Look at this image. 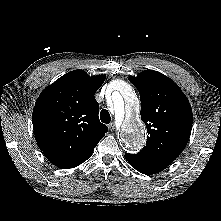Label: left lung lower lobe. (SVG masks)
I'll return each mask as SVG.
<instances>
[{
  "mask_svg": "<svg viewBox=\"0 0 221 221\" xmlns=\"http://www.w3.org/2000/svg\"><path fill=\"white\" fill-rule=\"evenodd\" d=\"M125 158L129 161L133 168L147 175L156 174L167 167V165H164L161 162L145 159L136 154L126 153Z\"/></svg>",
  "mask_w": 221,
  "mask_h": 221,
  "instance_id": "1",
  "label": "left lung lower lobe"
}]
</instances>
